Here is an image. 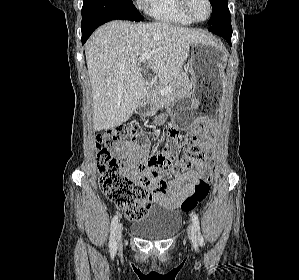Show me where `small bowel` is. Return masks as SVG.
<instances>
[{
  "mask_svg": "<svg viewBox=\"0 0 299 280\" xmlns=\"http://www.w3.org/2000/svg\"><path fill=\"white\" fill-rule=\"evenodd\" d=\"M171 128L177 129L174 125ZM215 130L214 121H205L191 130L195 131V136L201 139L199 143L201 157L191 170L170 180L164 178L161 166L151 162L147 145L140 147L135 143L127 142L114 150L120 157L130 160L129 172L148 192L149 208L157 204L168 209H176L193 192L196 182L201 179L209 182L212 180L213 166L209 154L215 141ZM206 133H209L207 137H205Z\"/></svg>",
  "mask_w": 299,
  "mask_h": 280,
  "instance_id": "small-bowel-1",
  "label": "small bowel"
}]
</instances>
